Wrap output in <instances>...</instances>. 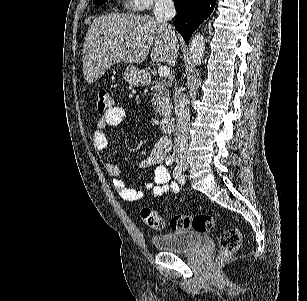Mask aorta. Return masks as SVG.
Listing matches in <instances>:
<instances>
[{
  "mask_svg": "<svg viewBox=\"0 0 307 301\" xmlns=\"http://www.w3.org/2000/svg\"><path fill=\"white\" fill-rule=\"evenodd\" d=\"M205 50V38L203 34H194L190 40V54L194 64H201Z\"/></svg>",
  "mask_w": 307,
  "mask_h": 301,
  "instance_id": "1",
  "label": "aorta"
}]
</instances>
